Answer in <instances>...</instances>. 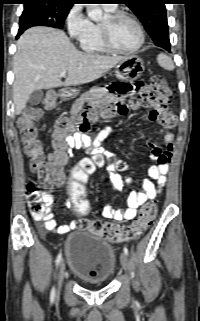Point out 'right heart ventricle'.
I'll use <instances>...</instances> for the list:
<instances>
[{
  "label": "right heart ventricle",
  "mask_w": 200,
  "mask_h": 321,
  "mask_svg": "<svg viewBox=\"0 0 200 321\" xmlns=\"http://www.w3.org/2000/svg\"><path fill=\"white\" fill-rule=\"evenodd\" d=\"M106 9L110 12L115 10V8L107 7ZM79 44L82 50L88 53L102 54L109 52L101 40L100 28L97 23L91 22L89 31L79 38Z\"/></svg>",
  "instance_id": "obj_1"
}]
</instances>
